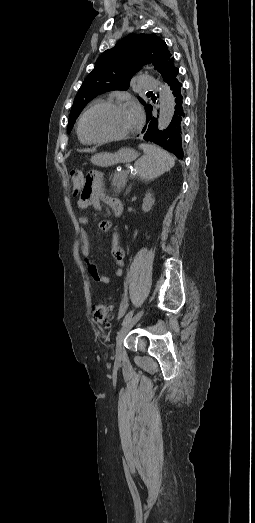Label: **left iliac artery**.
Instances as JSON below:
<instances>
[{
  "instance_id": "1",
  "label": "left iliac artery",
  "mask_w": 255,
  "mask_h": 523,
  "mask_svg": "<svg viewBox=\"0 0 255 523\" xmlns=\"http://www.w3.org/2000/svg\"><path fill=\"white\" fill-rule=\"evenodd\" d=\"M133 310H131L130 312H128V314L124 317L123 319V322H122V325H124L125 323H127L133 316Z\"/></svg>"
}]
</instances>
